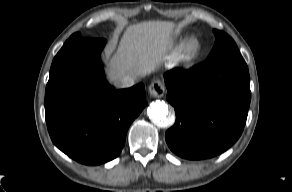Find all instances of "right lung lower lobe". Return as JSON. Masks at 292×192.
<instances>
[{
	"instance_id": "obj_1",
	"label": "right lung lower lobe",
	"mask_w": 292,
	"mask_h": 192,
	"mask_svg": "<svg viewBox=\"0 0 292 192\" xmlns=\"http://www.w3.org/2000/svg\"><path fill=\"white\" fill-rule=\"evenodd\" d=\"M104 39L67 40L55 56L45 92L47 128L70 158L99 165L116 158L132 121L147 105L142 83L116 90L105 80Z\"/></svg>"
}]
</instances>
